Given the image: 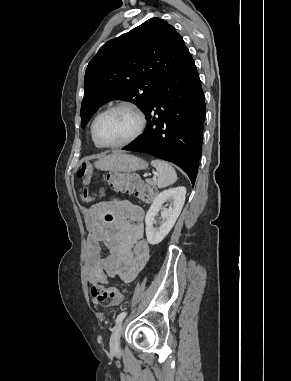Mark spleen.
<instances>
[{"label":"spleen","instance_id":"spleen-1","mask_svg":"<svg viewBox=\"0 0 291 381\" xmlns=\"http://www.w3.org/2000/svg\"><path fill=\"white\" fill-rule=\"evenodd\" d=\"M151 165L158 171L157 186L159 188H165L172 185L177 180V174L175 169L167 162L162 160H152Z\"/></svg>","mask_w":291,"mask_h":381}]
</instances>
